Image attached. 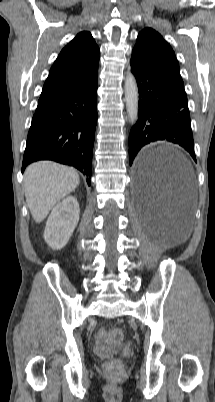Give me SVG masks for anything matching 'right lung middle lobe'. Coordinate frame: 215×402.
<instances>
[{
	"mask_svg": "<svg viewBox=\"0 0 215 402\" xmlns=\"http://www.w3.org/2000/svg\"><path fill=\"white\" fill-rule=\"evenodd\" d=\"M42 105L41 104H38V107L37 108H39V107H41Z\"/></svg>",
	"mask_w": 215,
	"mask_h": 402,
	"instance_id": "obj_1",
	"label": "right lung middle lobe"
}]
</instances>
